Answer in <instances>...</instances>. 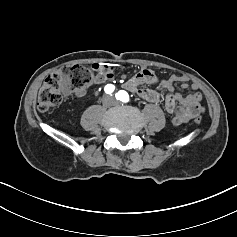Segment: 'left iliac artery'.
<instances>
[{
    "label": "left iliac artery",
    "instance_id": "44dca946",
    "mask_svg": "<svg viewBox=\"0 0 237 237\" xmlns=\"http://www.w3.org/2000/svg\"><path fill=\"white\" fill-rule=\"evenodd\" d=\"M115 97L117 100H120L122 102H129V95L124 90H120L118 93H116Z\"/></svg>",
    "mask_w": 237,
    "mask_h": 237
}]
</instances>
